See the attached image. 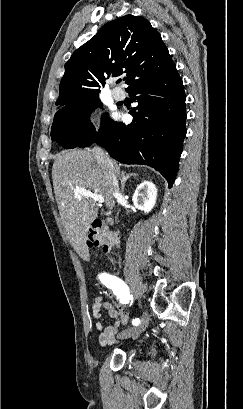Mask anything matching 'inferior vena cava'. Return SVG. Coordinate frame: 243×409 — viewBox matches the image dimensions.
Segmentation results:
<instances>
[{
    "label": "inferior vena cava",
    "mask_w": 243,
    "mask_h": 409,
    "mask_svg": "<svg viewBox=\"0 0 243 409\" xmlns=\"http://www.w3.org/2000/svg\"><path fill=\"white\" fill-rule=\"evenodd\" d=\"M93 154L95 155L97 161L105 166L109 170V179L112 188L113 197L117 198L120 196L119 185L116 175L113 172V163L109 155L99 146L93 148Z\"/></svg>",
    "instance_id": "obj_1"
}]
</instances>
